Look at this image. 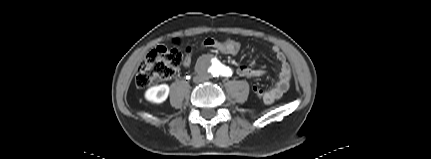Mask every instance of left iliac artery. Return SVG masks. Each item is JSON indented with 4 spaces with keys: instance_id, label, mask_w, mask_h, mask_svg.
<instances>
[{
    "instance_id": "obj_1",
    "label": "left iliac artery",
    "mask_w": 431,
    "mask_h": 159,
    "mask_svg": "<svg viewBox=\"0 0 431 159\" xmlns=\"http://www.w3.org/2000/svg\"><path fill=\"white\" fill-rule=\"evenodd\" d=\"M232 74V70L231 69H229L228 67L227 68H225L224 70H223V72H222V75L223 76H230Z\"/></svg>"
}]
</instances>
